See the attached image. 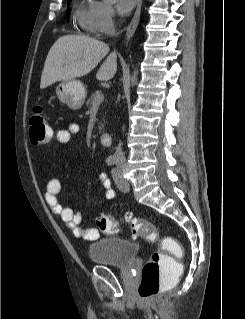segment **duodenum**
I'll list each match as a JSON object with an SVG mask.
<instances>
[{
    "label": "duodenum",
    "instance_id": "1",
    "mask_svg": "<svg viewBox=\"0 0 245 319\" xmlns=\"http://www.w3.org/2000/svg\"><path fill=\"white\" fill-rule=\"evenodd\" d=\"M101 142L104 146L106 147H109L111 145V142H112V137H111V134L108 133V132H104L102 135H101Z\"/></svg>",
    "mask_w": 245,
    "mask_h": 319
}]
</instances>
